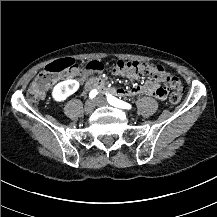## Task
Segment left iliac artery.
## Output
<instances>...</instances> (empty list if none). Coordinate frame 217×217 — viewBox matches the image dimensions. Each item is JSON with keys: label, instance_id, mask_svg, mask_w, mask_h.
I'll return each instance as SVG.
<instances>
[{"label": "left iliac artery", "instance_id": "obj_1", "mask_svg": "<svg viewBox=\"0 0 217 217\" xmlns=\"http://www.w3.org/2000/svg\"><path fill=\"white\" fill-rule=\"evenodd\" d=\"M108 102L116 107L122 108V109H131L132 106L129 103H126L122 100L117 99L116 97L112 96L111 94H106Z\"/></svg>", "mask_w": 217, "mask_h": 217}]
</instances>
